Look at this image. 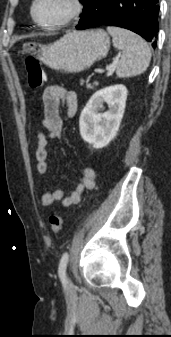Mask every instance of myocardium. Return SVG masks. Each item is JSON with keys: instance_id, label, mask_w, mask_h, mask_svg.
<instances>
[{"instance_id": "1", "label": "myocardium", "mask_w": 171, "mask_h": 337, "mask_svg": "<svg viewBox=\"0 0 171 337\" xmlns=\"http://www.w3.org/2000/svg\"><path fill=\"white\" fill-rule=\"evenodd\" d=\"M39 0H33L31 8H30V13L33 21L41 28L46 29V30H58L61 28H64L68 26L70 23H72L75 19H77L81 14L83 13L84 10V3L83 0H69L71 9L69 14L60 22L55 23V24H46L38 20L36 17V6L38 4Z\"/></svg>"}]
</instances>
